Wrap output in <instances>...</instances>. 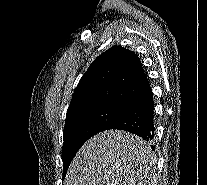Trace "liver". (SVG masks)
<instances>
[{
	"mask_svg": "<svg viewBox=\"0 0 207 185\" xmlns=\"http://www.w3.org/2000/svg\"><path fill=\"white\" fill-rule=\"evenodd\" d=\"M155 157L141 137L127 131H103L76 153L64 185H148Z\"/></svg>",
	"mask_w": 207,
	"mask_h": 185,
	"instance_id": "liver-1",
	"label": "liver"
}]
</instances>
